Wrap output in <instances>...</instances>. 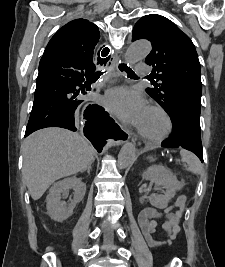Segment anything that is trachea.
Instances as JSON below:
<instances>
[{"instance_id": "1", "label": "trachea", "mask_w": 225, "mask_h": 267, "mask_svg": "<svg viewBox=\"0 0 225 267\" xmlns=\"http://www.w3.org/2000/svg\"><path fill=\"white\" fill-rule=\"evenodd\" d=\"M119 69L121 71H125L129 77H137L136 74L134 73V71H132V69L130 67H128L126 64H120L119 65ZM96 74H102V72H97Z\"/></svg>"}]
</instances>
